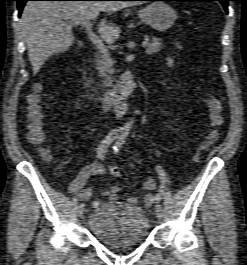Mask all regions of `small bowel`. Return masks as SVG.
<instances>
[{
    "label": "small bowel",
    "mask_w": 247,
    "mask_h": 265,
    "mask_svg": "<svg viewBox=\"0 0 247 265\" xmlns=\"http://www.w3.org/2000/svg\"><path fill=\"white\" fill-rule=\"evenodd\" d=\"M106 173L105 167L98 162L91 163L85 166L76 176V178L69 183L68 191L72 194H76L80 200H89L93 195V189L86 187L85 184L91 176L104 175ZM142 188L147 191L144 196L143 202L145 206H151L154 201L153 194L150 191L155 189V182L152 178H146L142 183ZM122 190L121 185H114L109 190L102 192V196L109 197L113 201H120L122 196L120 194ZM128 201L131 203H136L137 199L130 197Z\"/></svg>",
    "instance_id": "1"
}]
</instances>
